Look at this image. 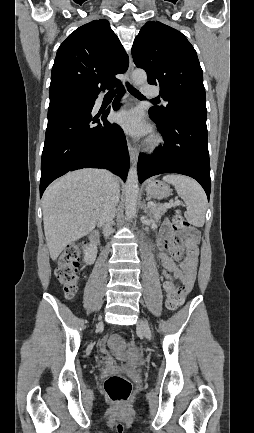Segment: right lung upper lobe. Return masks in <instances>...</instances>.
<instances>
[{
	"label": "right lung upper lobe",
	"instance_id": "obj_1",
	"mask_svg": "<svg viewBox=\"0 0 254 433\" xmlns=\"http://www.w3.org/2000/svg\"><path fill=\"white\" fill-rule=\"evenodd\" d=\"M128 56L104 19L76 29L59 47L51 73L50 99L61 96L96 97L107 86L118 85Z\"/></svg>",
	"mask_w": 254,
	"mask_h": 433
}]
</instances>
